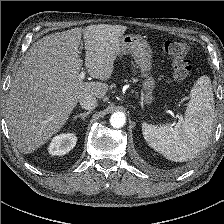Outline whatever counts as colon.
<instances>
[{
  "label": "colon",
  "instance_id": "obj_1",
  "mask_svg": "<svg viewBox=\"0 0 224 224\" xmlns=\"http://www.w3.org/2000/svg\"><path fill=\"white\" fill-rule=\"evenodd\" d=\"M161 51L171 59L174 80L184 84L192 70L188 44L179 40H167L162 43Z\"/></svg>",
  "mask_w": 224,
  "mask_h": 224
}]
</instances>
